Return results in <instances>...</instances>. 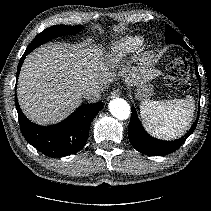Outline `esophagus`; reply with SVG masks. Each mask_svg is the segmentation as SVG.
Returning a JSON list of instances; mask_svg holds the SVG:
<instances>
[{
	"mask_svg": "<svg viewBox=\"0 0 211 211\" xmlns=\"http://www.w3.org/2000/svg\"><path fill=\"white\" fill-rule=\"evenodd\" d=\"M120 96V91L119 90H113L110 93V98H115V97H119Z\"/></svg>",
	"mask_w": 211,
	"mask_h": 211,
	"instance_id": "34e87169",
	"label": "esophagus"
}]
</instances>
